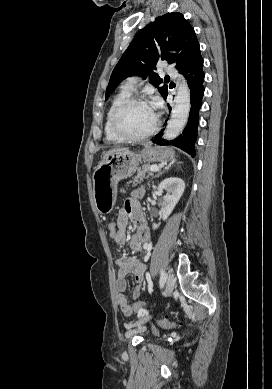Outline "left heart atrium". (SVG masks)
Listing matches in <instances>:
<instances>
[{
	"mask_svg": "<svg viewBox=\"0 0 272 389\" xmlns=\"http://www.w3.org/2000/svg\"><path fill=\"white\" fill-rule=\"evenodd\" d=\"M158 106V102L154 101L152 105V109L155 110V108Z\"/></svg>",
	"mask_w": 272,
	"mask_h": 389,
	"instance_id": "39dd6f15",
	"label": "left heart atrium"
}]
</instances>
